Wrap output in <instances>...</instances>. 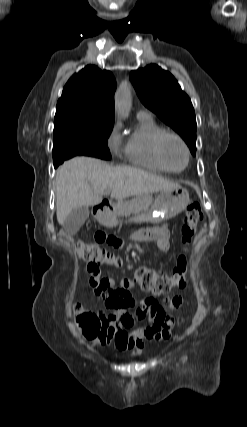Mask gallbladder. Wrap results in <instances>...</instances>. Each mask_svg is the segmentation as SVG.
Returning a JSON list of instances; mask_svg holds the SVG:
<instances>
[{
	"label": "gallbladder",
	"instance_id": "gallbladder-1",
	"mask_svg": "<svg viewBox=\"0 0 247 427\" xmlns=\"http://www.w3.org/2000/svg\"><path fill=\"white\" fill-rule=\"evenodd\" d=\"M88 216L89 208L87 206L73 209L64 220L63 227L65 231L70 235L76 234Z\"/></svg>",
	"mask_w": 247,
	"mask_h": 427
}]
</instances>
